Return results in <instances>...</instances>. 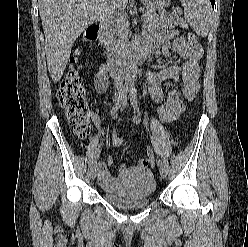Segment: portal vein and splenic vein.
Masks as SVG:
<instances>
[{"label": "portal vein and splenic vein", "mask_w": 248, "mask_h": 247, "mask_svg": "<svg viewBox=\"0 0 248 247\" xmlns=\"http://www.w3.org/2000/svg\"><path fill=\"white\" fill-rule=\"evenodd\" d=\"M140 11H142V12H143V11H144V9H143V8H141V9H140Z\"/></svg>", "instance_id": "obj_1"}]
</instances>
